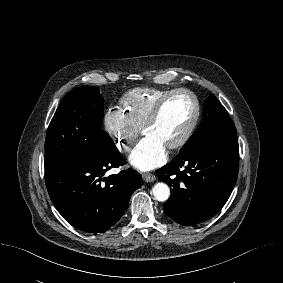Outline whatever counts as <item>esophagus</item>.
Here are the masks:
<instances>
[{
	"label": "esophagus",
	"instance_id": "34e87169",
	"mask_svg": "<svg viewBox=\"0 0 283 283\" xmlns=\"http://www.w3.org/2000/svg\"><path fill=\"white\" fill-rule=\"evenodd\" d=\"M143 180L145 182H154L156 180L155 175L151 174V173H144L143 174Z\"/></svg>",
	"mask_w": 283,
	"mask_h": 283
}]
</instances>
